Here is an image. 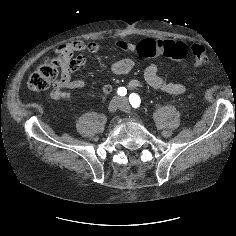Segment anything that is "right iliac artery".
<instances>
[{"mask_svg":"<svg viewBox=\"0 0 236 236\" xmlns=\"http://www.w3.org/2000/svg\"><path fill=\"white\" fill-rule=\"evenodd\" d=\"M119 96H125L127 94V89L125 87H119L117 90Z\"/></svg>","mask_w":236,"mask_h":236,"instance_id":"1","label":"right iliac artery"}]
</instances>
